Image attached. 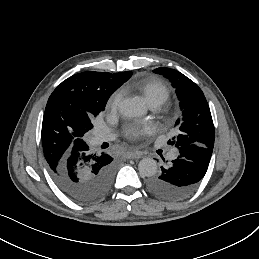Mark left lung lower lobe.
Returning a JSON list of instances; mask_svg holds the SVG:
<instances>
[{"instance_id": "left-lung-lower-lobe-1", "label": "left lung lower lobe", "mask_w": 259, "mask_h": 259, "mask_svg": "<svg viewBox=\"0 0 259 259\" xmlns=\"http://www.w3.org/2000/svg\"><path fill=\"white\" fill-rule=\"evenodd\" d=\"M178 150L179 156L170 167H161V174L147 182L149 190L165 200H181L194 192L207 172L213 152L212 148L195 144Z\"/></svg>"}]
</instances>
